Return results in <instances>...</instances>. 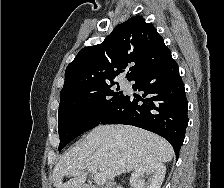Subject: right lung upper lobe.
I'll use <instances>...</instances> for the list:
<instances>
[{
	"mask_svg": "<svg viewBox=\"0 0 224 188\" xmlns=\"http://www.w3.org/2000/svg\"><path fill=\"white\" fill-rule=\"evenodd\" d=\"M170 53L153 24L134 16L117 25L101 44L79 51L66 68L61 92L112 83L129 65L126 77L132 80Z\"/></svg>",
	"mask_w": 224,
	"mask_h": 188,
	"instance_id": "obj_1",
	"label": "right lung upper lobe"
}]
</instances>
